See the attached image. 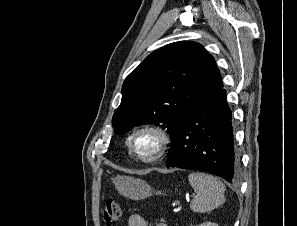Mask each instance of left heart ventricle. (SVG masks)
<instances>
[{
    "instance_id": "b2bd125f",
    "label": "left heart ventricle",
    "mask_w": 297,
    "mask_h": 226,
    "mask_svg": "<svg viewBox=\"0 0 297 226\" xmlns=\"http://www.w3.org/2000/svg\"><path fill=\"white\" fill-rule=\"evenodd\" d=\"M157 143V138L151 133H144L137 139L136 146L142 154L146 155L152 151Z\"/></svg>"
}]
</instances>
